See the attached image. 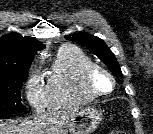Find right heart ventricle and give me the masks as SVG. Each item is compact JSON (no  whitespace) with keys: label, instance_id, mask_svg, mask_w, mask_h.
<instances>
[{"label":"right heart ventricle","instance_id":"obj_1","mask_svg":"<svg viewBox=\"0 0 153 134\" xmlns=\"http://www.w3.org/2000/svg\"><path fill=\"white\" fill-rule=\"evenodd\" d=\"M92 60L79 48L62 47L53 61L44 84L45 104L49 108L78 106L91 102L81 83L83 70Z\"/></svg>","mask_w":153,"mask_h":134}]
</instances>
